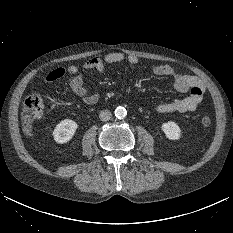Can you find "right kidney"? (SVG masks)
<instances>
[{"instance_id":"ca27d5eb","label":"right kidney","mask_w":233,"mask_h":233,"mask_svg":"<svg viewBox=\"0 0 233 233\" xmlns=\"http://www.w3.org/2000/svg\"><path fill=\"white\" fill-rule=\"evenodd\" d=\"M78 124L71 119H64L58 123L53 131V138L59 144H64L70 141L76 130Z\"/></svg>"}]
</instances>
